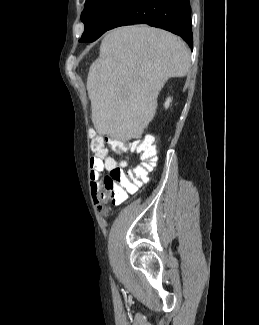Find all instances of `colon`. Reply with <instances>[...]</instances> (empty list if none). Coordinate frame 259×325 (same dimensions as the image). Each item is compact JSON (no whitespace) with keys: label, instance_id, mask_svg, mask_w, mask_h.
<instances>
[{"label":"colon","instance_id":"obj_1","mask_svg":"<svg viewBox=\"0 0 259 325\" xmlns=\"http://www.w3.org/2000/svg\"><path fill=\"white\" fill-rule=\"evenodd\" d=\"M106 143H109L116 153L131 150L141 156V162L135 167L125 171L116 165L110 169L109 174L103 180L100 197L106 202L111 200L114 203H121L128 193L136 192L143 184L148 182L149 172L153 169L157 159V144L155 138L151 135L128 144L113 138L91 134L90 148L95 157L103 160L107 156Z\"/></svg>","mask_w":259,"mask_h":325}]
</instances>
